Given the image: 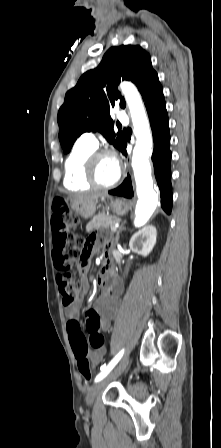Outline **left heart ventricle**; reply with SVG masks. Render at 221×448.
<instances>
[{"label": "left heart ventricle", "mask_w": 221, "mask_h": 448, "mask_svg": "<svg viewBox=\"0 0 221 448\" xmlns=\"http://www.w3.org/2000/svg\"><path fill=\"white\" fill-rule=\"evenodd\" d=\"M118 163L115 158L104 155L100 156L96 162V176L100 183L109 184L118 175Z\"/></svg>", "instance_id": "1"}]
</instances>
